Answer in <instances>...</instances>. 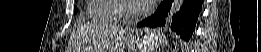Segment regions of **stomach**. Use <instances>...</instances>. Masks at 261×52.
<instances>
[{
	"mask_svg": "<svg viewBox=\"0 0 261 52\" xmlns=\"http://www.w3.org/2000/svg\"><path fill=\"white\" fill-rule=\"evenodd\" d=\"M162 41L159 30L141 29L131 33L126 38L130 52H152Z\"/></svg>",
	"mask_w": 261,
	"mask_h": 52,
	"instance_id": "0dacf381",
	"label": "stomach"
}]
</instances>
